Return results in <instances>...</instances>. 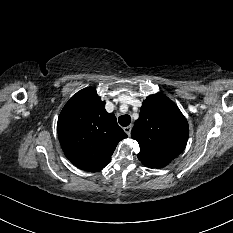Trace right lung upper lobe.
Instances as JSON below:
<instances>
[{
  "label": "right lung upper lobe",
  "instance_id": "right-lung-upper-lobe-1",
  "mask_svg": "<svg viewBox=\"0 0 233 233\" xmlns=\"http://www.w3.org/2000/svg\"><path fill=\"white\" fill-rule=\"evenodd\" d=\"M104 106L96 89L87 87L66 103L58 118V137L66 157L89 172L108 165L117 144L127 137Z\"/></svg>",
  "mask_w": 233,
  "mask_h": 233
}]
</instances>
